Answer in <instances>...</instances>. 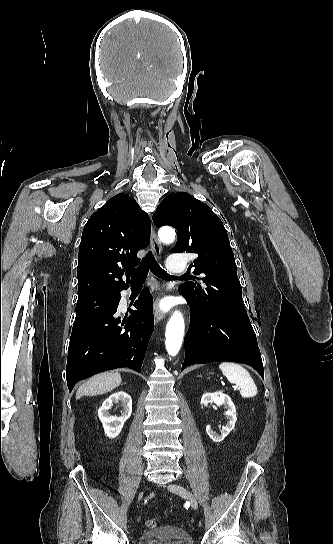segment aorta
<instances>
[{"label": "aorta", "instance_id": "obj_1", "mask_svg": "<svg viewBox=\"0 0 333 544\" xmlns=\"http://www.w3.org/2000/svg\"><path fill=\"white\" fill-rule=\"evenodd\" d=\"M159 238L164 243H172L175 239V231L170 227H162L159 230ZM184 318L179 311H175L169 319L165 332V345L169 355L176 356L181 348L184 336Z\"/></svg>", "mask_w": 333, "mask_h": 544}]
</instances>
